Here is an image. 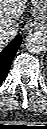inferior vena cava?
<instances>
[{
    "mask_svg": "<svg viewBox=\"0 0 47 129\" xmlns=\"http://www.w3.org/2000/svg\"><path fill=\"white\" fill-rule=\"evenodd\" d=\"M17 35V31L14 29H2L0 31V39L5 41H11Z\"/></svg>",
    "mask_w": 47,
    "mask_h": 129,
    "instance_id": "602c4592",
    "label": "inferior vena cava"
}]
</instances>
